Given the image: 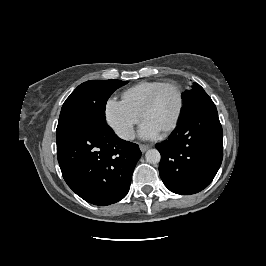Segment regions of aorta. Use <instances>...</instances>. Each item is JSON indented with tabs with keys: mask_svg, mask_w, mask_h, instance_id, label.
I'll list each match as a JSON object with an SVG mask.
<instances>
[{
	"mask_svg": "<svg viewBox=\"0 0 266 266\" xmlns=\"http://www.w3.org/2000/svg\"><path fill=\"white\" fill-rule=\"evenodd\" d=\"M145 159L150 164H156L160 162L161 156L157 149H150L146 152Z\"/></svg>",
	"mask_w": 266,
	"mask_h": 266,
	"instance_id": "762f6f07",
	"label": "aorta"
}]
</instances>
